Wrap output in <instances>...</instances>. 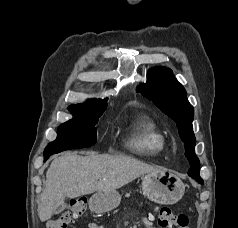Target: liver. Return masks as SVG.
Instances as JSON below:
<instances>
[{
  "instance_id": "obj_1",
  "label": "liver",
  "mask_w": 238,
  "mask_h": 228,
  "mask_svg": "<svg viewBox=\"0 0 238 228\" xmlns=\"http://www.w3.org/2000/svg\"><path fill=\"white\" fill-rule=\"evenodd\" d=\"M160 171L158 167L122 155H62L47 170L46 187L38 202L39 218L42 222L50 219L66 197L114 191L142 175Z\"/></svg>"
}]
</instances>
